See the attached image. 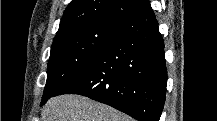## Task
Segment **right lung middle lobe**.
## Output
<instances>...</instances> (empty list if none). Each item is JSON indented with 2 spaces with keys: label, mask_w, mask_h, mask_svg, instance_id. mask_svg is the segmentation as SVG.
<instances>
[{
  "label": "right lung middle lobe",
  "mask_w": 217,
  "mask_h": 121,
  "mask_svg": "<svg viewBox=\"0 0 217 121\" xmlns=\"http://www.w3.org/2000/svg\"><path fill=\"white\" fill-rule=\"evenodd\" d=\"M125 23L113 19L93 20L76 25L56 37L51 46L42 102L89 66Z\"/></svg>",
  "instance_id": "1"
}]
</instances>
